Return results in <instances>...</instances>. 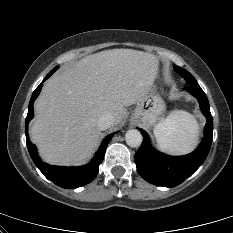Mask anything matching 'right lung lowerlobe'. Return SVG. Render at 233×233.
<instances>
[{"instance_id": "right-lung-lower-lobe-1", "label": "right lung lower lobe", "mask_w": 233, "mask_h": 233, "mask_svg": "<svg viewBox=\"0 0 233 233\" xmlns=\"http://www.w3.org/2000/svg\"><path fill=\"white\" fill-rule=\"evenodd\" d=\"M53 73L54 71H50L44 80L48 79ZM42 83L36 88V90L32 94L28 107V114L26 117V126H25L26 144L30 156L34 161L35 165L44 174V176H46L56 185L66 189H72L86 185L90 183L97 176L98 168L103 161L106 147L115 133L109 134L103 140L95 157L87 165L80 167H60V166H50L42 162L37 155L36 147L30 142L27 132L28 123L33 117V102L35 101V99L37 98V96L41 91Z\"/></svg>"}]
</instances>
